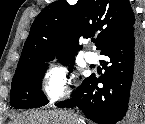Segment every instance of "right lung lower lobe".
I'll return each mask as SVG.
<instances>
[{"instance_id": "obj_1", "label": "right lung lower lobe", "mask_w": 145, "mask_h": 124, "mask_svg": "<svg viewBox=\"0 0 145 124\" xmlns=\"http://www.w3.org/2000/svg\"><path fill=\"white\" fill-rule=\"evenodd\" d=\"M100 51L108 57L103 61L105 73L99 78H85L73 98L57 106H77L98 124L138 119L145 109V35L134 25L108 41Z\"/></svg>"}]
</instances>
